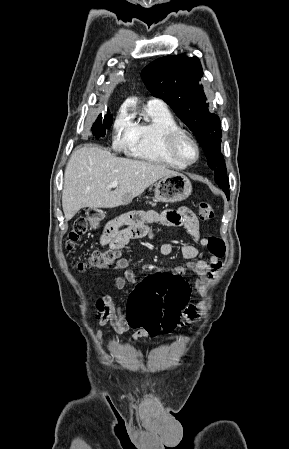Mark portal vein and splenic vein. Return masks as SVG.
I'll return each instance as SVG.
<instances>
[{
  "instance_id": "18ae733b",
  "label": "portal vein and splenic vein",
  "mask_w": 289,
  "mask_h": 449,
  "mask_svg": "<svg viewBox=\"0 0 289 449\" xmlns=\"http://www.w3.org/2000/svg\"><path fill=\"white\" fill-rule=\"evenodd\" d=\"M118 186V181H113L110 185H109V187H111V188H116Z\"/></svg>"
}]
</instances>
